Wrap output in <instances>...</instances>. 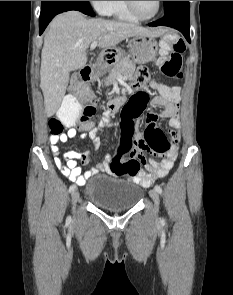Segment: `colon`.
Segmentation results:
<instances>
[{
	"label": "colon",
	"mask_w": 233,
	"mask_h": 295,
	"mask_svg": "<svg viewBox=\"0 0 233 295\" xmlns=\"http://www.w3.org/2000/svg\"><path fill=\"white\" fill-rule=\"evenodd\" d=\"M162 46L169 54L162 57L158 65L161 72L171 78L182 76V55L186 50L185 43L177 34L169 33L162 40ZM153 87L160 95L175 97L180 93L177 86H169L160 83H153ZM96 113L94 96L88 86V81L81 76L72 80L70 93L65 97L60 107L57 118L49 121V128L52 135H59L63 131V124H72L79 117L81 123L86 127H92L91 118ZM122 138L118 148V154L110 162L112 174L117 176H135L142 164L146 162V153L155 156L167 154L172 142L164 132L153 126H147L142 134L135 133V122L129 113L124 112L121 122ZM124 153L130 157L122 159Z\"/></svg>",
	"instance_id": "1"
}]
</instances>
